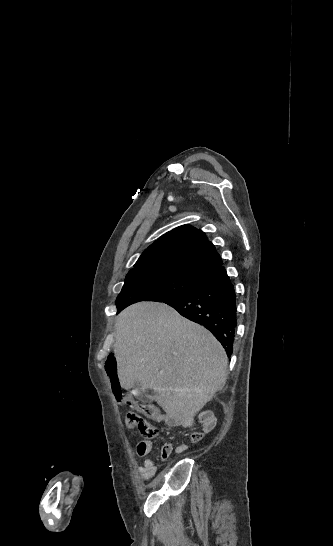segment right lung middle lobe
<instances>
[{
    "mask_svg": "<svg viewBox=\"0 0 333 546\" xmlns=\"http://www.w3.org/2000/svg\"><path fill=\"white\" fill-rule=\"evenodd\" d=\"M200 281L165 272L128 275L116 300L117 313L135 302H163L187 293L197 287Z\"/></svg>",
    "mask_w": 333,
    "mask_h": 546,
    "instance_id": "dd1d6c3e",
    "label": "right lung middle lobe"
}]
</instances>
